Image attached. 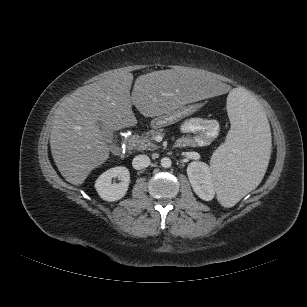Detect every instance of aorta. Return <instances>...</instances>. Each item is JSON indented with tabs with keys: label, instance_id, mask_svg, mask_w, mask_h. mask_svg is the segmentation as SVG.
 I'll return each instance as SVG.
<instances>
[{
	"label": "aorta",
	"instance_id": "762f6f07",
	"mask_svg": "<svg viewBox=\"0 0 307 307\" xmlns=\"http://www.w3.org/2000/svg\"><path fill=\"white\" fill-rule=\"evenodd\" d=\"M160 164H161V166L163 168H170L171 165H172V161H171L170 158L164 157V158L161 159V163Z\"/></svg>",
	"mask_w": 307,
	"mask_h": 307
}]
</instances>
